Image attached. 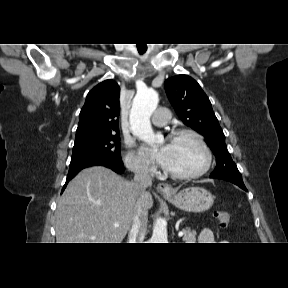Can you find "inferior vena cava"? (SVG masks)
<instances>
[{
  "label": "inferior vena cava",
  "mask_w": 288,
  "mask_h": 288,
  "mask_svg": "<svg viewBox=\"0 0 288 288\" xmlns=\"http://www.w3.org/2000/svg\"><path fill=\"white\" fill-rule=\"evenodd\" d=\"M134 183L138 189L139 198L128 234V243H143L147 231L148 211L144 208L143 196L152 185V178L144 166H138L134 171Z\"/></svg>",
  "instance_id": "602c4592"
}]
</instances>
